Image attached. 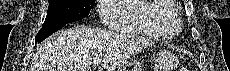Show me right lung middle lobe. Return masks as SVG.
I'll return each mask as SVG.
<instances>
[{
    "instance_id": "dd1d6c3e",
    "label": "right lung middle lobe",
    "mask_w": 230,
    "mask_h": 71,
    "mask_svg": "<svg viewBox=\"0 0 230 71\" xmlns=\"http://www.w3.org/2000/svg\"><path fill=\"white\" fill-rule=\"evenodd\" d=\"M95 0H49V7L42 27L71 23L86 17Z\"/></svg>"
}]
</instances>
